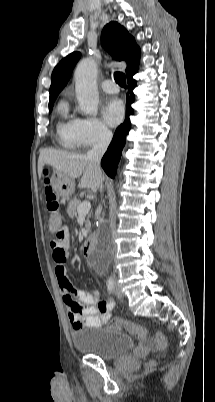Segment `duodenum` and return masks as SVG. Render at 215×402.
I'll return each instance as SVG.
<instances>
[{
    "instance_id": "obj_1",
    "label": "duodenum",
    "mask_w": 215,
    "mask_h": 402,
    "mask_svg": "<svg viewBox=\"0 0 215 402\" xmlns=\"http://www.w3.org/2000/svg\"><path fill=\"white\" fill-rule=\"evenodd\" d=\"M95 249V240L93 238L87 239L82 246V252L85 256H90ZM101 270L102 267H99Z\"/></svg>"
}]
</instances>
